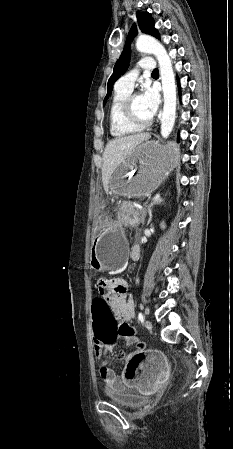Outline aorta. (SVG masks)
Returning a JSON list of instances; mask_svg holds the SVG:
<instances>
[{
    "mask_svg": "<svg viewBox=\"0 0 233 449\" xmlns=\"http://www.w3.org/2000/svg\"><path fill=\"white\" fill-rule=\"evenodd\" d=\"M136 48L140 52L154 54L159 62L164 95L161 135L167 138L173 129L176 115V85L171 59L164 46L149 36H140L137 39Z\"/></svg>",
    "mask_w": 233,
    "mask_h": 449,
    "instance_id": "obj_1",
    "label": "aorta"
}]
</instances>
